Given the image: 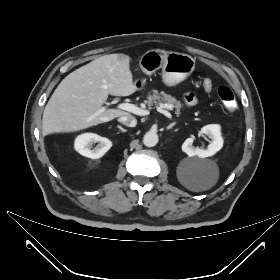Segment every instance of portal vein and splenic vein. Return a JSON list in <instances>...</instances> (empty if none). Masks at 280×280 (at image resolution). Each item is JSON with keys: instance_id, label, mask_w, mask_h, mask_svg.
I'll return each mask as SVG.
<instances>
[{"instance_id": "1", "label": "portal vein and splenic vein", "mask_w": 280, "mask_h": 280, "mask_svg": "<svg viewBox=\"0 0 280 280\" xmlns=\"http://www.w3.org/2000/svg\"><path fill=\"white\" fill-rule=\"evenodd\" d=\"M118 108L119 109H122V110H125V111H128V112H131L133 114H136V115H139V116H146L149 114V111L148 110H145V109H141L137 106H135L134 104H131V103H121L118 105ZM104 110V108L102 109V111ZM157 111L162 113L163 115H165L166 117L168 118H172V115L169 111L165 110L161 107H157Z\"/></svg>"}]
</instances>
